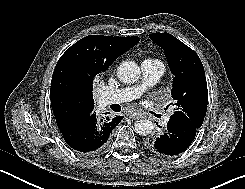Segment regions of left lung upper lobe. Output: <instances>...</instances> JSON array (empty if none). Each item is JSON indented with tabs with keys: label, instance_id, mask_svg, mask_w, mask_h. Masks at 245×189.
Segmentation results:
<instances>
[{
	"label": "left lung upper lobe",
	"instance_id": "5c2ea615",
	"mask_svg": "<svg viewBox=\"0 0 245 189\" xmlns=\"http://www.w3.org/2000/svg\"><path fill=\"white\" fill-rule=\"evenodd\" d=\"M149 37L163 48L174 75L171 95L177 111L170 120L200 128L208 103L207 82L200 58L171 34L152 33Z\"/></svg>",
	"mask_w": 245,
	"mask_h": 189
}]
</instances>
